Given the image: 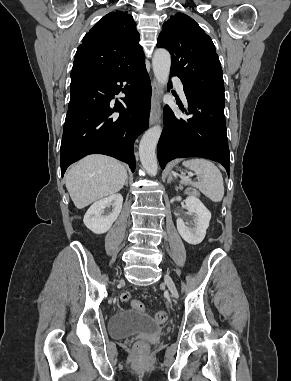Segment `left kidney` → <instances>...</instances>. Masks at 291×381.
<instances>
[{
	"label": "left kidney",
	"mask_w": 291,
	"mask_h": 381,
	"mask_svg": "<svg viewBox=\"0 0 291 381\" xmlns=\"http://www.w3.org/2000/svg\"><path fill=\"white\" fill-rule=\"evenodd\" d=\"M181 197H177L180 201ZM189 214H195L194 227H189L183 219L178 218L177 229L181 237L191 245H197L203 241L206 235V230L209 227L211 212L196 196H188L185 200Z\"/></svg>",
	"instance_id": "left-kidney-1"
}]
</instances>
